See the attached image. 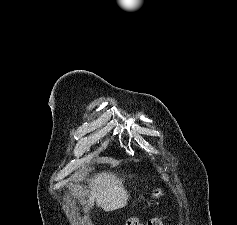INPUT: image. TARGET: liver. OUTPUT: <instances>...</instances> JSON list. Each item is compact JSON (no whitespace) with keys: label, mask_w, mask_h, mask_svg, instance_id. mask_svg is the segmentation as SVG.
<instances>
[{"label":"liver","mask_w":237,"mask_h":225,"mask_svg":"<svg viewBox=\"0 0 237 225\" xmlns=\"http://www.w3.org/2000/svg\"><path fill=\"white\" fill-rule=\"evenodd\" d=\"M123 179L113 173H101L91 181L92 190L86 202V211L94 205L102 207L105 211H113L127 205L130 195L125 189Z\"/></svg>","instance_id":"1"}]
</instances>
